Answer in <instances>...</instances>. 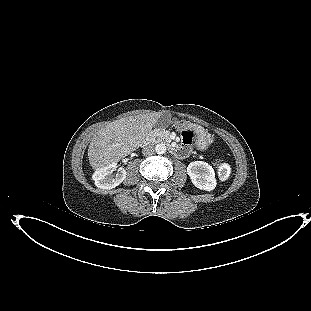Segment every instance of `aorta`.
Wrapping results in <instances>:
<instances>
[{"mask_svg": "<svg viewBox=\"0 0 311 311\" xmlns=\"http://www.w3.org/2000/svg\"><path fill=\"white\" fill-rule=\"evenodd\" d=\"M166 146L163 143H159L155 146V152L157 154H164L166 152Z\"/></svg>", "mask_w": 311, "mask_h": 311, "instance_id": "aorta-1", "label": "aorta"}]
</instances>
